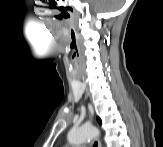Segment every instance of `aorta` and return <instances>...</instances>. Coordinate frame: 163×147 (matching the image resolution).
I'll return each mask as SVG.
<instances>
[{
    "mask_svg": "<svg viewBox=\"0 0 163 147\" xmlns=\"http://www.w3.org/2000/svg\"><path fill=\"white\" fill-rule=\"evenodd\" d=\"M99 135V130L91 125H82L69 131L67 139L72 145H78L92 140Z\"/></svg>",
    "mask_w": 163,
    "mask_h": 147,
    "instance_id": "1",
    "label": "aorta"
}]
</instances>
